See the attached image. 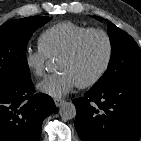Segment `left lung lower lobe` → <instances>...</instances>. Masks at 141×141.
<instances>
[{"label": "left lung lower lobe", "instance_id": "obj_1", "mask_svg": "<svg viewBox=\"0 0 141 141\" xmlns=\"http://www.w3.org/2000/svg\"><path fill=\"white\" fill-rule=\"evenodd\" d=\"M75 128L82 141H138L141 137V78L91 88L75 99Z\"/></svg>", "mask_w": 141, "mask_h": 141}]
</instances>
